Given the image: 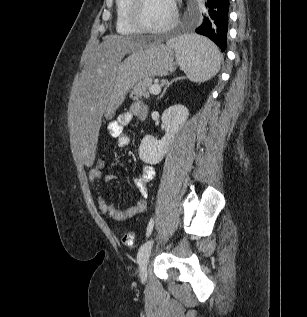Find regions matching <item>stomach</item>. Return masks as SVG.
<instances>
[{
	"label": "stomach",
	"instance_id": "1",
	"mask_svg": "<svg viewBox=\"0 0 307 317\" xmlns=\"http://www.w3.org/2000/svg\"><path fill=\"white\" fill-rule=\"evenodd\" d=\"M176 65L172 49L161 43L147 44L131 52L117 66L112 87L105 100V117H113L137 82L145 78L166 76L175 71Z\"/></svg>",
	"mask_w": 307,
	"mask_h": 317
}]
</instances>
